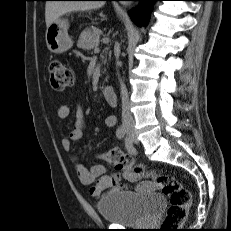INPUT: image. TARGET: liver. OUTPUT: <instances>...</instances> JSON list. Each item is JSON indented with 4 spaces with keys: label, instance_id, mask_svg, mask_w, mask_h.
<instances>
[{
    "label": "liver",
    "instance_id": "6515ba94",
    "mask_svg": "<svg viewBox=\"0 0 231 231\" xmlns=\"http://www.w3.org/2000/svg\"><path fill=\"white\" fill-rule=\"evenodd\" d=\"M104 4V1H48L45 6L46 26L48 28L67 13L97 10Z\"/></svg>",
    "mask_w": 231,
    "mask_h": 231
}]
</instances>
